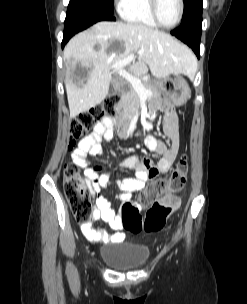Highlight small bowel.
I'll list each match as a JSON object with an SVG mask.
<instances>
[{"mask_svg":"<svg viewBox=\"0 0 247 304\" xmlns=\"http://www.w3.org/2000/svg\"><path fill=\"white\" fill-rule=\"evenodd\" d=\"M152 110L161 109L163 111V131L169 143L166 144L158 140L155 136L149 135L145 139L147 148L159 156L156 166L148 158L140 159L136 156H129L120 161V166L126 170L134 171V177L126 178L118 184L120 194L117 199L129 201L134 192L145 188L149 179L158 174L167 173L172 167L179 151L180 138L178 130V117L174 108L168 104H162L156 100L151 105ZM114 117L105 118L94 130V132L83 139L78 147L71 153L73 163L82 168L84 176L95 199V208L91 220H103L117 232L108 234L104 229H95L91 222L81 225V231L90 242L116 243L123 239L122 230L124 228L122 216L115 211L111 203L106 199L102 190L108 186L110 171L102 172V167L90 166L87 155L98 156L102 154V142L111 141L114 138Z\"/></svg>","mask_w":247,"mask_h":304,"instance_id":"obj_1","label":"small bowel"}]
</instances>
